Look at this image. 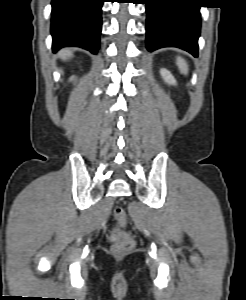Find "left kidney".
I'll use <instances>...</instances> for the list:
<instances>
[{
    "instance_id": "left-kidney-1",
    "label": "left kidney",
    "mask_w": 246,
    "mask_h": 300,
    "mask_svg": "<svg viewBox=\"0 0 246 300\" xmlns=\"http://www.w3.org/2000/svg\"><path fill=\"white\" fill-rule=\"evenodd\" d=\"M160 74L164 81L169 85H176V80L167 69H161Z\"/></svg>"
}]
</instances>
